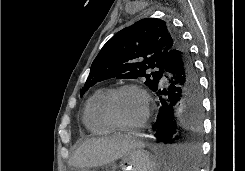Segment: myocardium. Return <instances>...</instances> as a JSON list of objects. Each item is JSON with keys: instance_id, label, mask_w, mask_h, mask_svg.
I'll list each match as a JSON object with an SVG mask.
<instances>
[{"instance_id": "obj_1", "label": "myocardium", "mask_w": 245, "mask_h": 171, "mask_svg": "<svg viewBox=\"0 0 245 171\" xmlns=\"http://www.w3.org/2000/svg\"><path fill=\"white\" fill-rule=\"evenodd\" d=\"M126 90H135L142 94L146 101V112L144 118L141 122L135 125H127L122 123L116 116L113 108V103L118 94ZM102 111L105 118L110 122L116 129L121 131H137L144 128L150 118L151 115V97L146 89L142 86L134 84V83H127L117 86L107 92L105 95L103 102H102Z\"/></svg>"}]
</instances>
